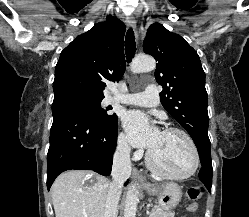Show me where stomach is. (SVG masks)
I'll return each mask as SVG.
<instances>
[{"instance_id":"0dacf381","label":"stomach","mask_w":249,"mask_h":217,"mask_svg":"<svg viewBox=\"0 0 249 217\" xmlns=\"http://www.w3.org/2000/svg\"><path fill=\"white\" fill-rule=\"evenodd\" d=\"M143 189L151 196H157L159 206L170 211L175 208L181 200V188L174 182H169L160 186L146 185Z\"/></svg>"}]
</instances>
